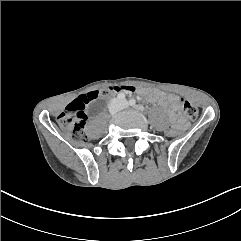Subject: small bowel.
Segmentation results:
<instances>
[{
	"mask_svg": "<svg viewBox=\"0 0 241 241\" xmlns=\"http://www.w3.org/2000/svg\"><path fill=\"white\" fill-rule=\"evenodd\" d=\"M121 92H128L121 90ZM145 98L150 101L157 102L160 106L168 110V114L176 120L178 126H182L181 120L178 118V112L181 108L179 97L173 94H167L162 91H145L143 92Z\"/></svg>",
	"mask_w": 241,
	"mask_h": 241,
	"instance_id": "1",
	"label": "small bowel"
}]
</instances>
